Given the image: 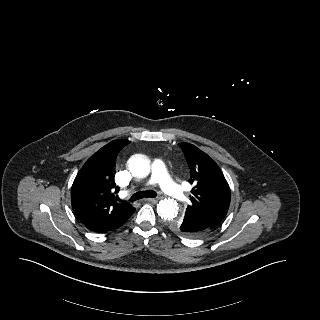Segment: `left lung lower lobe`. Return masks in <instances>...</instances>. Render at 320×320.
Instances as JSON below:
<instances>
[{"mask_svg":"<svg viewBox=\"0 0 320 320\" xmlns=\"http://www.w3.org/2000/svg\"><path fill=\"white\" fill-rule=\"evenodd\" d=\"M170 227L173 231L189 238H196L212 230L211 227L202 223L197 217L189 214L184 215V217L179 220L177 229L173 227L172 222L170 223Z\"/></svg>","mask_w":320,"mask_h":320,"instance_id":"1","label":"left lung lower lobe"}]
</instances>
